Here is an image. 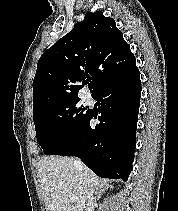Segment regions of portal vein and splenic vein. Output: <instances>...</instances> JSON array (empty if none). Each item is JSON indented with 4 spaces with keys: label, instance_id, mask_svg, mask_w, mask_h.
Listing matches in <instances>:
<instances>
[{
    "label": "portal vein and splenic vein",
    "instance_id": "18ae733b",
    "mask_svg": "<svg viewBox=\"0 0 178 211\" xmlns=\"http://www.w3.org/2000/svg\"><path fill=\"white\" fill-rule=\"evenodd\" d=\"M70 200L75 201L76 200V197L75 196H71L70 197Z\"/></svg>",
    "mask_w": 178,
    "mask_h": 211
}]
</instances>
